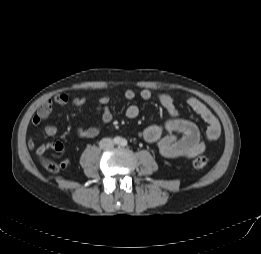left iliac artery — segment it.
<instances>
[{
	"label": "left iliac artery",
	"mask_w": 261,
	"mask_h": 254,
	"mask_svg": "<svg viewBox=\"0 0 261 254\" xmlns=\"http://www.w3.org/2000/svg\"><path fill=\"white\" fill-rule=\"evenodd\" d=\"M121 145H122V146H126V145H127V141H126L125 139H123V140L121 141Z\"/></svg>",
	"instance_id": "1"
}]
</instances>
